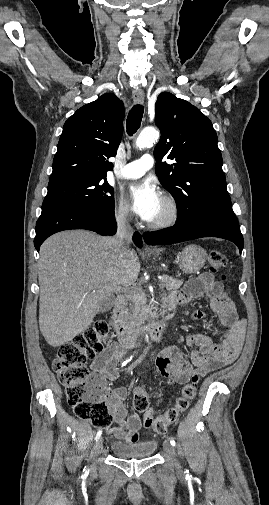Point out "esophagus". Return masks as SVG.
<instances>
[{"label":"esophagus","mask_w":269,"mask_h":505,"mask_svg":"<svg viewBox=\"0 0 269 505\" xmlns=\"http://www.w3.org/2000/svg\"><path fill=\"white\" fill-rule=\"evenodd\" d=\"M132 98H133V101L136 103V104H142L144 102V98H145V95H144V92L143 90L141 89H136V90H133L132 92ZM146 251H149L151 250L149 246L145 245V248H144Z\"/></svg>","instance_id":"1"}]
</instances>
